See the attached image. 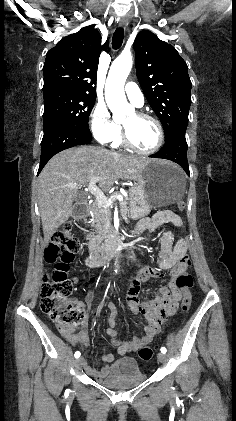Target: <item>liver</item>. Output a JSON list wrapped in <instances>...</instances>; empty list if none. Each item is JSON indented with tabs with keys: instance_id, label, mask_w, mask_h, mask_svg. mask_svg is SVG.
<instances>
[{
	"instance_id": "6515ba94",
	"label": "liver",
	"mask_w": 236,
	"mask_h": 421,
	"mask_svg": "<svg viewBox=\"0 0 236 421\" xmlns=\"http://www.w3.org/2000/svg\"><path fill=\"white\" fill-rule=\"evenodd\" d=\"M153 158L123 156L107 148L80 146L66 148L50 158L38 178V204L42 221L44 243L50 241L60 225L71 215L77 188L67 184H87L94 176L103 190H109L116 178H134L139 168Z\"/></svg>"
}]
</instances>
